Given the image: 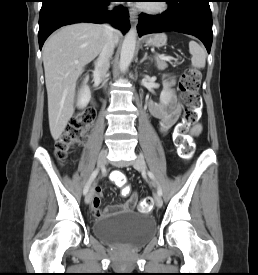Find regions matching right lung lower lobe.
<instances>
[{"instance_id":"98d812e1","label":"right lung lower lobe","mask_w":258,"mask_h":275,"mask_svg":"<svg viewBox=\"0 0 258 275\" xmlns=\"http://www.w3.org/2000/svg\"><path fill=\"white\" fill-rule=\"evenodd\" d=\"M114 0H42L39 15V47L47 37L61 26L78 23H101L110 21L124 34L130 28L128 10L122 6L113 12L106 11V6Z\"/></svg>"}]
</instances>
